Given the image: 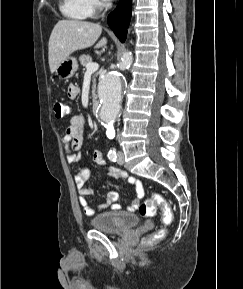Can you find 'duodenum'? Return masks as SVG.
I'll use <instances>...</instances> for the list:
<instances>
[{
	"label": "duodenum",
	"instance_id": "obj_1",
	"mask_svg": "<svg viewBox=\"0 0 243 289\" xmlns=\"http://www.w3.org/2000/svg\"><path fill=\"white\" fill-rule=\"evenodd\" d=\"M99 109H100V104L98 100H93L92 102V112L94 115H98L99 114Z\"/></svg>",
	"mask_w": 243,
	"mask_h": 289
}]
</instances>
